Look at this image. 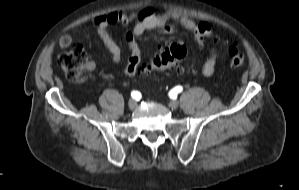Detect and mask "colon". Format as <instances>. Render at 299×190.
I'll return each mask as SVG.
<instances>
[{
  "instance_id": "obj_1",
  "label": "colon",
  "mask_w": 299,
  "mask_h": 190,
  "mask_svg": "<svg viewBox=\"0 0 299 190\" xmlns=\"http://www.w3.org/2000/svg\"><path fill=\"white\" fill-rule=\"evenodd\" d=\"M187 48L180 42H174L155 55L150 63L144 65L140 72L148 75L153 72H166L172 69L181 70V63L186 57ZM244 55L233 44H228V62L232 68L241 67L244 64ZM59 65L67 78L74 83H81L85 79L87 57L85 49L75 44L59 57Z\"/></svg>"
}]
</instances>
